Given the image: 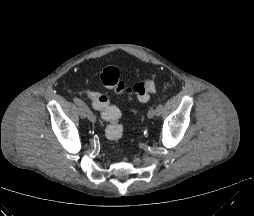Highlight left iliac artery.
<instances>
[{
    "label": "left iliac artery",
    "instance_id": "44dca946",
    "mask_svg": "<svg viewBox=\"0 0 254 216\" xmlns=\"http://www.w3.org/2000/svg\"><path fill=\"white\" fill-rule=\"evenodd\" d=\"M163 110H164V103L163 102H159L156 106V115L159 116L163 113Z\"/></svg>",
    "mask_w": 254,
    "mask_h": 216
}]
</instances>
